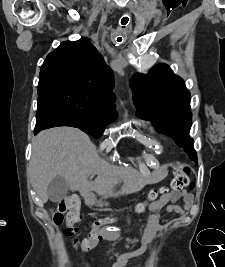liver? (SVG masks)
<instances>
[{
  "label": "liver",
  "instance_id": "obj_1",
  "mask_svg": "<svg viewBox=\"0 0 225 267\" xmlns=\"http://www.w3.org/2000/svg\"><path fill=\"white\" fill-rule=\"evenodd\" d=\"M121 173L102 159L95 145L81 130L55 127L41 131L34 139L28 176L43 203L48 201L47 188L56 177H64L73 191L94 190L111 195L112 180ZM97 175L94 183L88 181Z\"/></svg>",
  "mask_w": 225,
  "mask_h": 267
}]
</instances>
